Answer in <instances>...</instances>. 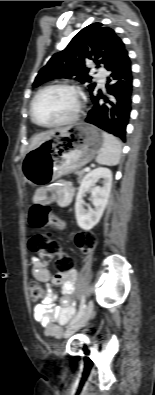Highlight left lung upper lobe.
Listing matches in <instances>:
<instances>
[{
	"mask_svg": "<svg viewBox=\"0 0 155 395\" xmlns=\"http://www.w3.org/2000/svg\"><path fill=\"white\" fill-rule=\"evenodd\" d=\"M127 55L124 43L113 29L93 23L78 32L63 51L52 56L39 71L33 87L54 78H69L89 82V91L93 93L96 84L91 83L86 62L93 60L98 67L103 64L109 70Z\"/></svg>",
	"mask_w": 155,
	"mask_h": 395,
	"instance_id": "left-lung-upper-lobe-1",
	"label": "left lung upper lobe"
}]
</instances>
